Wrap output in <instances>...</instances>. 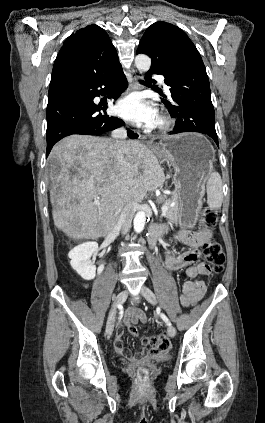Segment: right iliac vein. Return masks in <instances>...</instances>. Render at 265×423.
Listing matches in <instances>:
<instances>
[{
	"mask_svg": "<svg viewBox=\"0 0 265 423\" xmlns=\"http://www.w3.org/2000/svg\"><path fill=\"white\" fill-rule=\"evenodd\" d=\"M128 296V292L126 290L121 291L112 306V309L109 313V317L106 323V334L110 337L113 333V329H114V313L116 311V309L125 302V300L127 299Z\"/></svg>",
	"mask_w": 265,
	"mask_h": 423,
	"instance_id": "right-iliac-vein-1",
	"label": "right iliac vein"
}]
</instances>
